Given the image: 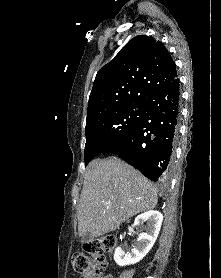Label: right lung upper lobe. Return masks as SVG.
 <instances>
[{"label": "right lung upper lobe", "instance_id": "obj_1", "mask_svg": "<svg viewBox=\"0 0 221 278\" xmlns=\"http://www.w3.org/2000/svg\"><path fill=\"white\" fill-rule=\"evenodd\" d=\"M176 77V65L163 43L137 36L97 73L86 121L135 102H145L152 92Z\"/></svg>", "mask_w": 221, "mask_h": 278}]
</instances>
